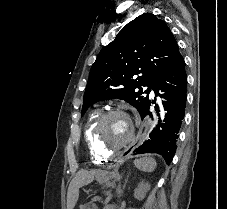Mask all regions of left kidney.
Instances as JSON below:
<instances>
[{
	"label": "left kidney",
	"instance_id": "obj_1",
	"mask_svg": "<svg viewBox=\"0 0 227 209\" xmlns=\"http://www.w3.org/2000/svg\"><path fill=\"white\" fill-rule=\"evenodd\" d=\"M150 191V185L149 183H139L137 189H134V197L135 199H138V201H142V199H145L146 193Z\"/></svg>",
	"mask_w": 227,
	"mask_h": 209
}]
</instances>
